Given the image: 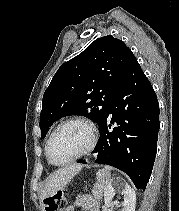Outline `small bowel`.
<instances>
[{"mask_svg":"<svg viewBox=\"0 0 179 211\" xmlns=\"http://www.w3.org/2000/svg\"><path fill=\"white\" fill-rule=\"evenodd\" d=\"M76 206H79L87 211H100L99 203L89 195L79 197L76 203L69 206L66 211H74Z\"/></svg>","mask_w":179,"mask_h":211,"instance_id":"obj_1","label":"small bowel"}]
</instances>
